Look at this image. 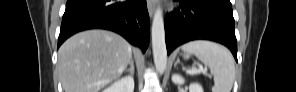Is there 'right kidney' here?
<instances>
[{"label":"right kidney","instance_id":"1","mask_svg":"<svg viewBox=\"0 0 296 92\" xmlns=\"http://www.w3.org/2000/svg\"><path fill=\"white\" fill-rule=\"evenodd\" d=\"M103 92H134V80L131 76L123 77L115 81Z\"/></svg>","mask_w":296,"mask_h":92}]
</instances>
